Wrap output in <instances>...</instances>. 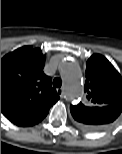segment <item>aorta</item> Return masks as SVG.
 <instances>
[{
    "label": "aorta",
    "mask_w": 122,
    "mask_h": 154,
    "mask_svg": "<svg viewBox=\"0 0 122 154\" xmlns=\"http://www.w3.org/2000/svg\"><path fill=\"white\" fill-rule=\"evenodd\" d=\"M60 72L64 78L66 92L71 99L83 94L81 73L79 66L72 60H64L60 65Z\"/></svg>",
    "instance_id": "762f6f07"
}]
</instances>
